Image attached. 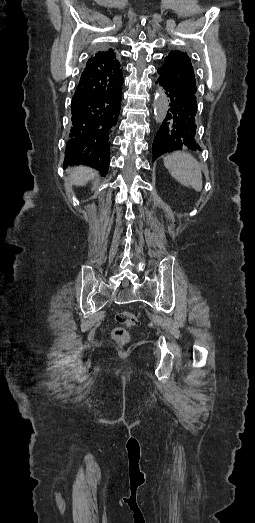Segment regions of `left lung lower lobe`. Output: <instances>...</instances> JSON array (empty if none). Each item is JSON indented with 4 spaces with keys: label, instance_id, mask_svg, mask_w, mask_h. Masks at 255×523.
<instances>
[{
    "label": "left lung lower lobe",
    "instance_id": "obj_1",
    "mask_svg": "<svg viewBox=\"0 0 255 523\" xmlns=\"http://www.w3.org/2000/svg\"><path fill=\"white\" fill-rule=\"evenodd\" d=\"M156 83L157 88L161 85L160 91L163 93L159 94V97H164L167 93L170 109L166 121L160 120L161 125L156 129L158 137L151 141L150 148L153 152L150 157L153 162L160 160L159 153L169 154L173 150L191 152L197 149L195 136L198 126H195L194 116L199 114L198 107L193 104L190 94L185 90L169 84L164 76H159ZM197 123H200V116Z\"/></svg>",
    "mask_w": 255,
    "mask_h": 523
}]
</instances>
